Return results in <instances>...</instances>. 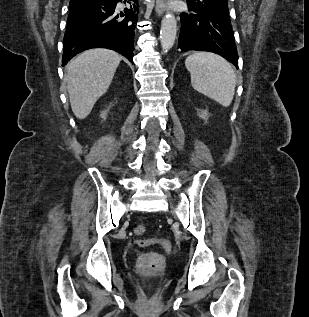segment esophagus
<instances>
[{"label":"esophagus","mask_w":309,"mask_h":317,"mask_svg":"<svg viewBox=\"0 0 309 317\" xmlns=\"http://www.w3.org/2000/svg\"><path fill=\"white\" fill-rule=\"evenodd\" d=\"M155 11L158 15H162L165 11V0H156Z\"/></svg>","instance_id":"obj_1"}]
</instances>
